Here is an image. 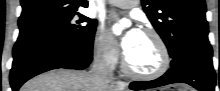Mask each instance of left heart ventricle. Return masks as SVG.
<instances>
[{
	"label": "left heart ventricle",
	"mask_w": 220,
	"mask_h": 91,
	"mask_svg": "<svg viewBox=\"0 0 220 91\" xmlns=\"http://www.w3.org/2000/svg\"><path fill=\"white\" fill-rule=\"evenodd\" d=\"M125 56L130 68L137 72H152L160 64V53L154 39L142 32Z\"/></svg>",
	"instance_id": "b2bd125f"
}]
</instances>
